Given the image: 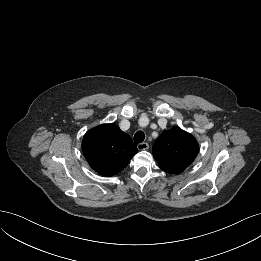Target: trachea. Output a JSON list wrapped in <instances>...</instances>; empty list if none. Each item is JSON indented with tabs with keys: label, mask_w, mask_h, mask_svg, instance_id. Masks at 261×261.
Listing matches in <instances>:
<instances>
[{
	"label": "trachea",
	"mask_w": 261,
	"mask_h": 261,
	"mask_svg": "<svg viewBox=\"0 0 261 261\" xmlns=\"http://www.w3.org/2000/svg\"><path fill=\"white\" fill-rule=\"evenodd\" d=\"M144 139H145V134H144V132L138 131V132L135 133V135H134V141H135V142L141 143V142L144 141Z\"/></svg>",
	"instance_id": "obj_1"
}]
</instances>
